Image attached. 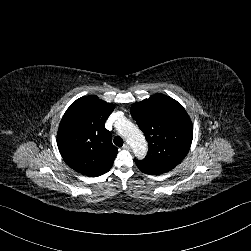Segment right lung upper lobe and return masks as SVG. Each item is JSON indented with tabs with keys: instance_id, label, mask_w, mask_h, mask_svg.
Here are the masks:
<instances>
[{
	"instance_id": "right-lung-upper-lobe-1",
	"label": "right lung upper lobe",
	"mask_w": 251,
	"mask_h": 251,
	"mask_svg": "<svg viewBox=\"0 0 251 251\" xmlns=\"http://www.w3.org/2000/svg\"><path fill=\"white\" fill-rule=\"evenodd\" d=\"M114 110L112 103L95 95L74 101L59 125L57 145L66 164L86 176H100L110 170L118 150L105 122Z\"/></svg>"
}]
</instances>
